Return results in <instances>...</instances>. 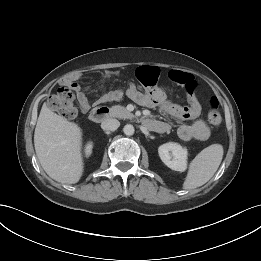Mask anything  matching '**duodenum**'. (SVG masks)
Here are the masks:
<instances>
[{
	"label": "duodenum",
	"mask_w": 261,
	"mask_h": 261,
	"mask_svg": "<svg viewBox=\"0 0 261 261\" xmlns=\"http://www.w3.org/2000/svg\"><path fill=\"white\" fill-rule=\"evenodd\" d=\"M109 114H110V110L108 107L99 106L92 111L91 120L99 123V122L104 121L106 118H108ZM143 124L147 128L154 130V131H159L162 128V126L159 122L150 120V119H144Z\"/></svg>",
	"instance_id": "1"
}]
</instances>
